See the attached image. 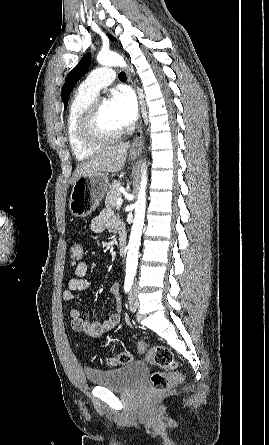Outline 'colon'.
Segmentation results:
<instances>
[{
  "mask_svg": "<svg viewBox=\"0 0 269 445\" xmlns=\"http://www.w3.org/2000/svg\"><path fill=\"white\" fill-rule=\"evenodd\" d=\"M83 257V247L80 243H74L70 248V258L73 264H77ZM138 350L146 353L147 360L158 368L151 377L148 388L149 395H157L167 391L172 385L181 381V376L175 371L176 360L172 351L162 345H155L147 349L144 342L138 343ZM133 360V355L128 352L120 353L107 359L109 365H126Z\"/></svg>",
  "mask_w": 269,
  "mask_h": 445,
  "instance_id": "obj_1",
  "label": "colon"
}]
</instances>
